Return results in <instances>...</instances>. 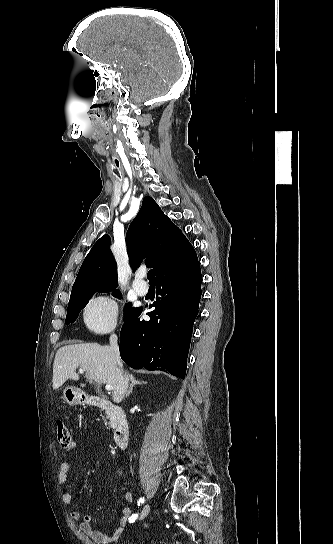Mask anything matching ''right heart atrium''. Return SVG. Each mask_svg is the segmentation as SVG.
Instances as JSON below:
<instances>
[{"label": "right heart atrium", "mask_w": 333, "mask_h": 544, "mask_svg": "<svg viewBox=\"0 0 333 544\" xmlns=\"http://www.w3.org/2000/svg\"><path fill=\"white\" fill-rule=\"evenodd\" d=\"M118 313L119 305L115 298L99 296L85 308L84 321L86 326L96 333H110L117 327Z\"/></svg>", "instance_id": "right-heart-atrium-1"}]
</instances>
